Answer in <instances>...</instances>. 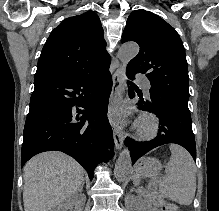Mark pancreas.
I'll use <instances>...</instances> for the list:
<instances>
[{"mask_svg":"<svg viewBox=\"0 0 219 211\" xmlns=\"http://www.w3.org/2000/svg\"><path fill=\"white\" fill-rule=\"evenodd\" d=\"M144 192L147 193V199L150 205H159V203H162L163 197L159 195L158 191H151L150 188H145Z\"/></svg>","mask_w":219,"mask_h":211,"instance_id":"cf45deb5","label":"pancreas"}]
</instances>
